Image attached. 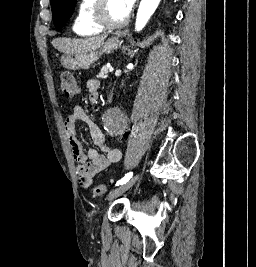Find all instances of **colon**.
Instances as JSON below:
<instances>
[{
	"label": "colon",
	"mask_w": 256,
	"mask_h": 267,
	"mask_svg": "<svg viewBox=\"0 0 256 267\" xmlns=\"http://www.w3.org/2000/svg\"><path fill=\"white\" fill-rule=\"evenodd\" d=\"M60 86L62 92L66 96H73L77 93L78 90V84L75 77L68 71H63L60 74ZM112 187L113 184L110 182L96 185L93 188V194L95 196H103L107 194L109 191H111Z\"/></svg>",
	"instance_id": "colon-1"
}]
</instances>
